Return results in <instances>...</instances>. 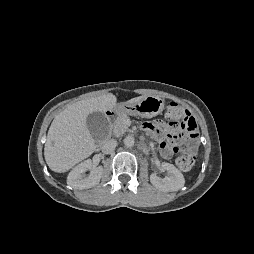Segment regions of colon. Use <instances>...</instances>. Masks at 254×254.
I'll list each match as a JSON object with an SVG mask.
<instances>
[{
    "label": "colon",
    "instance_id": "1",
    "mask_svg": "<svg viewBox=\"0 0 254 254\" xmlns=\"http://www.w3.org/2000/svg\"><path fill=\"white\" fill-rule=\"evenodd\" d=\"M165 115L168 127L176 128L179 137L188 142V145L177 148L180 154L176 162L182 171L189 172L195 164L194 152L199 136L197 122L185 107L174 101L167 103Z\"/></svg>",
    "mask_w": 254,
    "mask_h": 254
}]
</instances>
